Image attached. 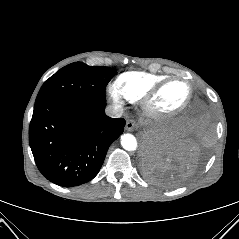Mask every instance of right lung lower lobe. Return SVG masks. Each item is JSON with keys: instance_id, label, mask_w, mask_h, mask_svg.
Masks as SVG:
<instances>
[{"instance_id": "98d812e1", "label": "right lung lower lobe", "mask_w": 239, "mask_h": 239, "mask_svg": "<svg viewBox=\"0 0 239 239\" xmlns=\"http://www.w3.org/2000/svg\"><path fill=\"white\" fill-rule=\"evenodd\" d=\"M106 102L58 98L35 103L29 143L40 172L64 187L84 184L99 172L109 146L124 131Z\"/></svg>"}]
</instances>
